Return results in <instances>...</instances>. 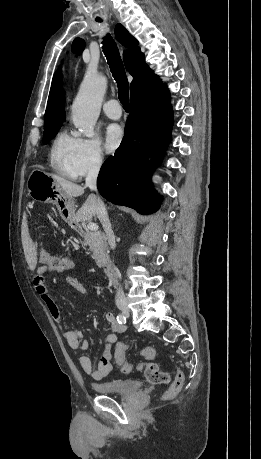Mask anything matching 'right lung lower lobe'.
<instances>
[{
	"label": "right lung lower lobe",
	"mask_w": 261,
	"mask_h": 459,
	"mask_svg": "<svg viewBox=\"0 0 261 459\" xmlns=\"http://www.w3.org/2000/svg\"><path fill=\"white\" fill-rule=\"evenodd\" d=\"M131 113L125 135L114 156L101 167L97 187L112 203L151 214L159 209L160 197L152 187L151 174L171 138L173 113L166 85L130 100Z\"/></svg>",
	"instance_id": "98d812e1"
}]
</instances>
